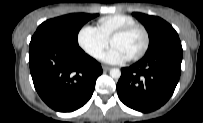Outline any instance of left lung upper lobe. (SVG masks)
<instances>
[{
	"mask_svg": "<svg viewBox=\"0 0 203 123\" xmlns=\"http://www.w3.org/2000/svg\"><path fill=\"white\" fill-rule=\"evenodd\" d=\"M147 29L150 37V46L146 54L171 44L181 43L175 29L163 19L142 13H133Z\"/></svg>",
	"mask_w": 203,
	"mask_h": 123,
	"instance_id": "obj_1",
	"label": "left lung upper lobe"
}]
</instances>
